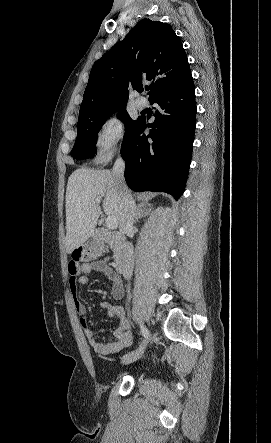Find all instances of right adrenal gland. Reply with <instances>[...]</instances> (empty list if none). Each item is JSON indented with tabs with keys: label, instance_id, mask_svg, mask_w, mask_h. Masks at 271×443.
Masks as SVG:
<instances>
[{
	"label": "right adrenal gland",
	"instance_id": "obj_1",
	"mask_svg": "<svg viewBox=\"0 0 271 443\" xmlns=\"http://www.w3.org/2000/svg\"><path fill=\"white\" fill-rule=\"evenodd\" d=\"M151 212L152 208H150V206H144V204L136 206L134 223L138 222L139 218H147V216H150Z\"/></svg>",
	"mask_w": 271,
	"mask_h": 443
}]
</instances>
